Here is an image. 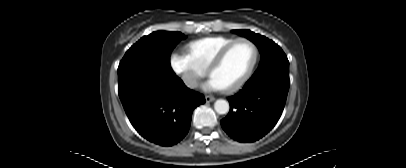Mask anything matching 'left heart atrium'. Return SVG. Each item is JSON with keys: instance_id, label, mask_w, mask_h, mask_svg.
Here are the masks:
<instances>
[{"instance_id": "39dd6f15", "label": "left heart atrium", "mask_w": 406, "mask_h": 168, "mask_svg": "<svg viewBox=\"0 0 406 168\" xmlns=\"http://www.w3.org/2000/svg\"><path fill=\"white\" fill-rule=\"evenodd\" d=\"M203 89L206 91H218L222 89V86L211 77L209 81L203 85Z\"/></svg>"}]
</instances>
